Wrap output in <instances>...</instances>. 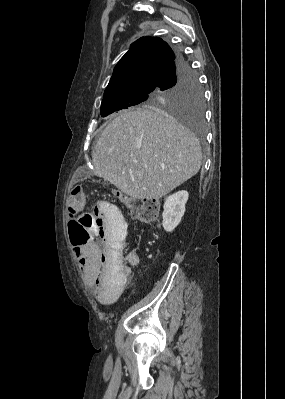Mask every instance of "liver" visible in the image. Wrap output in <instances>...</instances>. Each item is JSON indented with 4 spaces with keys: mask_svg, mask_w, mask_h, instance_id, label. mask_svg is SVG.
Wrapping results in <instances>:
<instances>
[{
    "mask_svg": "<svg viewBox=\"0 0 285 399\" xmlns=\"http://www.w3.org/2000/svg\"><path fill=\"white\" fill-rule=\"evenodd\" d=\"M197 138L157 109L125 110L103 130L93 151V172L132 199H160L197 174Z\"/></svg>",
    "mask_w": 285,
    "mask_h": 399,
    "instance_id": "1",
    "label": "liver"
}]
</instances>
